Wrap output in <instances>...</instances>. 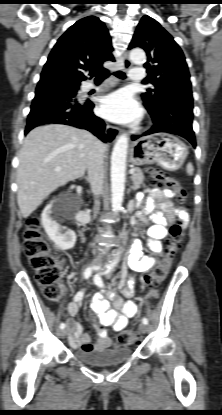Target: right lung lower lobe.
<instances>
[{
	"label": "right lung lower lobe",
	"mask_w": 222,
	"mask_h": 415,
	"mask_svg": "<svg viewBox=\"0 0 222 415\" xmlns=\"http://www.w3.org/2000/svg\"><path fill=\"white\" fill-rule=\"evenodd\" d=\"M80 82L56 72L41 73L25 134L34 127L46 123H58L83 128L103 142L105 123L93 113V103H80L76 99Z\"/></svg>",
	"instance_id": "1"
}]
</instances>
